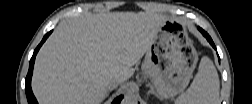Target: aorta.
Segmentation results:
<instances>
[{
	"label": "aorta",
	"mask_w": 252,
	"mask_h": 104,
	"mask_svg": "<svg viewBox=\"0 0 252 104\" xmlns=\"http://www.w3.org/2000/svg\"><path fill=\"white\" fill-rule=\"evenodd\" d=\"M136 102V99L134 96H131V95H126L124 98H123V103L124 104H134Z\"/></svg>",
	"instance_id": "762f6f07"
}]
</instances>
